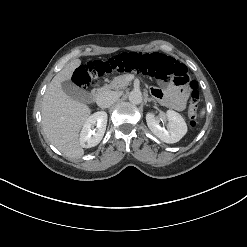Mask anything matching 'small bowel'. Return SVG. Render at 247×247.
Returning a JSON list of instances; mask_svg holds the SVG:
<instances>
[{"label": "small bowel", "mask_w": 247, "mask_h": 247, "mask_svg": "<svg viewBox=\"0 0 247 247\" xmlns=\"http://www.w3.org/2000/svg\"><path fill=\"white\" fill-rule=\"evenodd\" d=\"M152 93L160 102L176 110L185 108V99L182 90L177 85H169L164 89L153 88Z\"/></svg>", "instance_id": "c3829d8e"}]
</instances>
